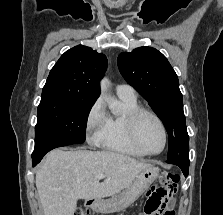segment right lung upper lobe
<instances>
[{"mask_svg": "<svg viewBox=\"0 0 223 215\" xmlns=\"http://www.w3.org/2000/svg\"><path fill=\"white\" fill-rule=\"evenodd\" d=\"M107 69V58L90 47L66 51L51 69L41 99L95 103L99 81Z\"/></svg>", "mask_w": 223, "mask_h": 215, "instance_id": "obj_1", "label": "right lung upper lobe"}]
</instances>
